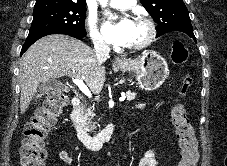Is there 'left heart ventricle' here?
Returning a JSON list of instances; mask_svg holds the SVG:
<instances>
[{
    "instance_id": "b2bd125f",
    "label": "left heart ventricle",
    "mask_w": 227,
    "mask_h": 166,
    "mask_svg": "<svg viewBox=\"0 0 227 166\" xmlns=\"http://www.w3.org/2000/svg\"><path fill=\"white\" fill-rule=\"evenodd\" d=\"M145 36H146L145 26L141 22L135 20L133 21L132 24L131 35L127 42V45L137 43L143 40Z\"/></svg>"
}]
</instances>
